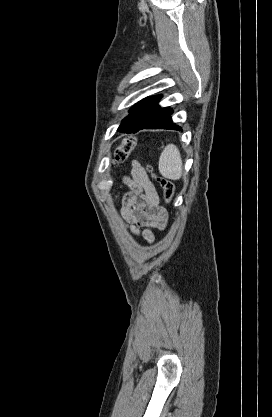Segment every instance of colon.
<instances>
[{"label": "colon", "instance_id": "colon-1", "mask_svg": "<svg viewBox=\"0 0 272 417\" xmlns=\"http://www.w3.org/2000/svg\"><path fill=\"white\" fill-rule=\"evenodd\" d=\"M134 147H135L134 139L132 138L124 139L122 143L115 149L114 161L121 162L125 160L129 156L131 151L134 149ZM156 180L158 181V183L163 189L166 202L169 203L173 198V195L175 192V185L171 181L165 178L156 177Z\"/></svg>", "mask_w": 272, "mask_h": 417}]
</instances>
